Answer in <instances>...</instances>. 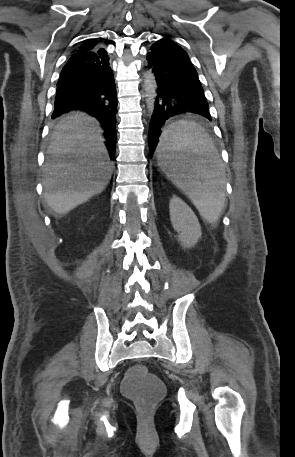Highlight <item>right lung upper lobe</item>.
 <instances>
[{"mask_svg": "<svg viewBox=\"0 0 295 457\" xmlns=\"http://www.w3.org/2000/svg\"><path fill=\"white\" fill-rule=\"evenodd\" d=\"M97 44H98L97 42H92V41L86 42L83 45H81L80 48L76 52H86V51L93 50L97 46Z\"/></svg>", "mask_w": 295, "mask_h": 457, "instance_id": "right-lung-upper-lobe-1", "label": "right lung upper lobe"}]
</instances>
